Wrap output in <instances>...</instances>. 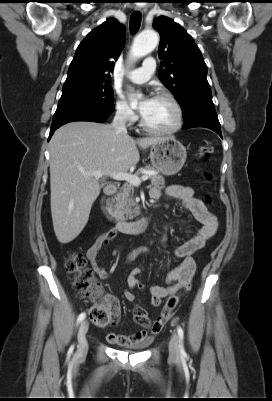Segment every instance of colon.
Instances as JSON below:
<instances>
[{
    "instance_id": "1",
    "label": "colon",
    "mask_w": 272,
    "mask_h": 401,
    "mask_svg": "<svg viewBox=\"0 0 272 401\" xmlns=\"http://www.w3.org/2000/svg\"><path fill=\"white\" fill-rule=\"evenodd\" d=\"M213 152L214 148L211 145H202L199 147L200 158L208 159ZM66 269L69 273L75 275L74 286L82 297L90 299L98 298L99 293L93 282V272L86 267V260L81 254L73 253L66 262ZM178 302V295L170 296L166 301L162 314L155 320H151L143 308H138L135 311V319L139 324L144 326L165 323ZM89 317L97 326L104 327L113 323L112 310L107 303H99L90 308Z\"/></svg>"
}]
</instances>
